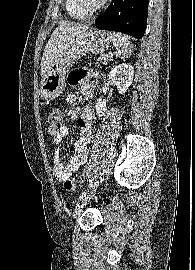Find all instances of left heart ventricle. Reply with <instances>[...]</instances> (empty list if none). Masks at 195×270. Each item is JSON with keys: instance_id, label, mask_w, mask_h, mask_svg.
I'll list each match as a JSON object with an SVG mask.
<instances>
[{"instance_id": "b2bd125f", "label": "left heart ventricle", "mask_w": 195, "mask_h": 270, "mask_svg": "<svg viewBox=\"0 0 195 270\" xmlns=\"http://www.w3.org/2000/svg\"><path fill=\"white\" fill-rule=\"evenodd\" d=\"M89 1V3H91V4H96V3H98L100 0H88Z\"/></svg>"}]
</instances>
